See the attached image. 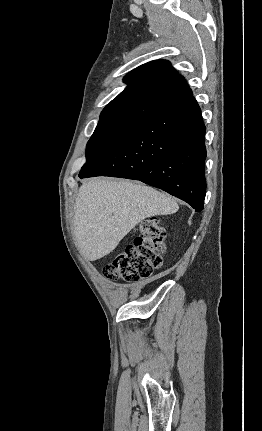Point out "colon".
Listing matches in <instances>:
<instances>
[{
  "instance_id": "colon-1",
  "label": "colon",
  "mask_w": 262,
  "mask_h": 431,
  "mask_svg": "<svg viewBox=\"0 0 262 431\" xmlns=\"http://www.w3.org/2000/svg\"><path fill=\"white\" fill-rule=\"evenodd\" d=\"M165 231L156 218L146 220L132 244L117 253L104 268L113 280L133 283L149 278L163 264Z\"/></svg>"
}]
</instances>
